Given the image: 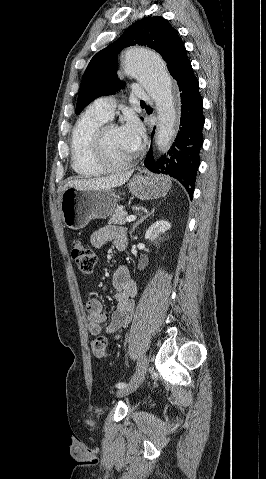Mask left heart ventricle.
Listing matches in <instances>:
<instances>
[{
  "instance_id": "1",
  "label": "left heart ventricle",
  "mask_w": 266,
  "mask_h": 479,
  "mask_svg": "<svg viewBox=\"0 0 266 479\" xmlns=\"http://www.w3.org/2000/svg\"><path fill=\"white\" fill-rule=\"evenodd\" d=\"M105 153L113 163H122L132 156L120 129L110 130L105 137Z\"/></svg>"
}]
</instances>
